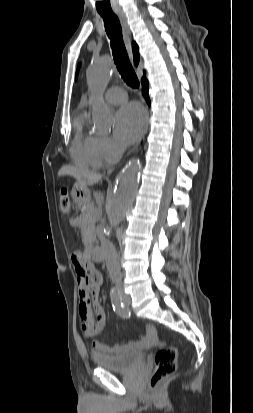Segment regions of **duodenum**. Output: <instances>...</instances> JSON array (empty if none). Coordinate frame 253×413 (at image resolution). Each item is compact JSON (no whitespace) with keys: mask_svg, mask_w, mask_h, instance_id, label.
I'll list each match as a JSON object with an SVG mask.
<instances>
[{"mask_svg":"<svg viewBox=\"0 0 253 413\" xmlns=\"http://www.w3.org/2000/svg\"><path fill=\"white\" fill-rule=\"evenodd\" d=\"M88 255L94 261H103L104 260V253L102 249L98 246H90L87 249Z\"/></svg>","mask_w":253,"mask_h":413,"instance_id":"410a0bca","label":"duodenum"}]
</instances>
